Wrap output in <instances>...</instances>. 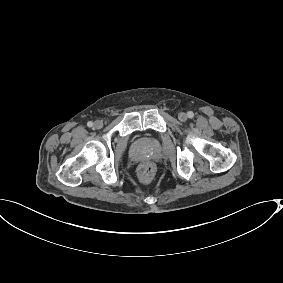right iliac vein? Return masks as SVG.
Here are the masks:
<instances>
[{"label": "right iliac vein", "mask_w": 283, "mask_h": 283, "mask_svg": "<svg viewBox=\"0 0 283 283\" xmlns=\"http://www.w3.org/2000/svg\"><path fill=\"white\" fill-rule=\"evenodd\" d=\"M102 127H103V122H102V121L96 120V121L94 122V128H95V129H101Z\"/></svg>", "instance_id": "63e3f726"}]
</instances>
